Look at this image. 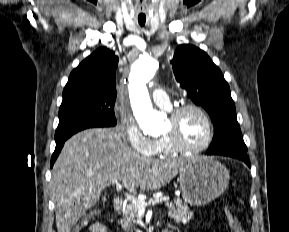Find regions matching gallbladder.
<instances>
[{
  "label": "gallbladder",
  "mask_w": 289,
  "mask_h": 232,
  "mask_svg": "<svg viewBox=\"0 0 289 232\" xmlns=\"http://www.w3.org/2000/svg\"><path fill=\"white\" fill-rule=\"evenodd\" d=\"M102 199H103V201H105V196Z\"/></svg>",
  "instance_id": "1"
}]
</instances>
